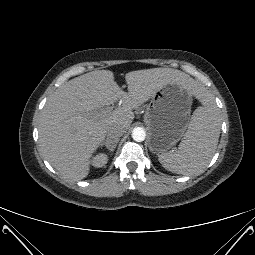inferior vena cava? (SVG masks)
Here are the masks:
<instances>
[{
  "label": "inferior vena cava",
  "mask_w": 255,
  "mask_h": 255,
  "mask_svg": "<svg viewBox=\"0 0 255 255\" xmlns=\"http://www.w3.org/2000/svg\"><path fill=\"white\" fill-rule=\"evenodd\" d=\"M124 134V129L121 126H110L106 131L105 144L112 146L119 141V138Z\"/></svg>",
  "instance_id": "obj_1"
}]
</instances>
